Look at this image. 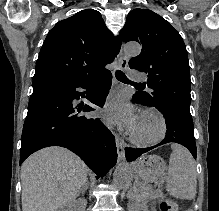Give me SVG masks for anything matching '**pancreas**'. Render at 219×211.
<instances>
[{
    "instance_id": "obj_1",
    "label": "pancreas",
    "mask_w": 219,
    "mask_h": 211,
    "mask_svg": "<svg viewBox=\"0 0 219 211\" xmlns=\"http://www.w3.org/2000/svg\"><path fill=\"white\" fill-rule=\"evenodd\" d=\"M136 193L131 198L134 200H145V199H155V197H160L161 193L159 191H154L150 185L145 186H133Z\"/></svg>"
}]
</instances>
